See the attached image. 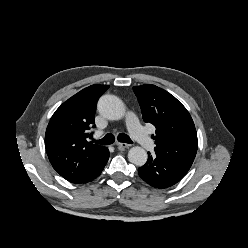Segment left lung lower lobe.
<instances>
[{"mask_svg": "<svg viewBox=\"0 0 248 248\" xmlns=\"http://www.w3.org/2000/svg\"><path fill=\"white\" fill-rule=\"evenodd\" d=\"M191 166L176 162L162 156H151L145 165L138 168L139 176L155 188H168L179 182L189 171Z\"/></svg>", "mask_w": 248, "mask_h": 248, "instance_id": "0a47b994", "label": "left lung lower lobe"}]
</instances>
